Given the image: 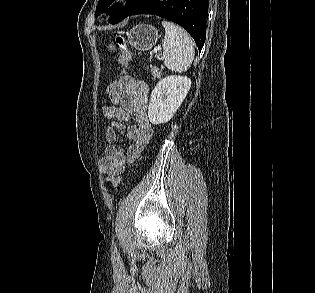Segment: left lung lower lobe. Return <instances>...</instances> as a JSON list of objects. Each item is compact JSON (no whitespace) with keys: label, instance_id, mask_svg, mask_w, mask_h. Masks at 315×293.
Returning a JSON list of instances; mask_svg holds the SVG:
<instances>
[{"label":"left lung lower lobe","instance_id":"1","mask_svg":"<svg viewBox=\"0 0 315 293\" xmlns=\"http://www.w3.org/2000/svg\"><path fill=\"white\" fill-rule=\"evenodd\" d=\"M136 14H154L181 25L201 51L206 36L207 0H142L128 16Z\"/></svg>","mask_w":315,"mask_h":293}]
</instances>
